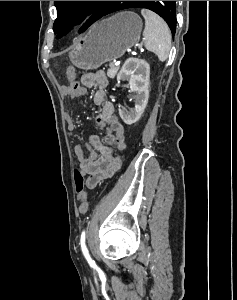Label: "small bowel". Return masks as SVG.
Here are the masks:
<instances>
[{"label":"small bowel","instance_id":"obj_1","mask_svg":"<svg viewBox=\"0 0 237 300\" xmlns=\"http://www.w3.org/2000/svg\"><path fill=\"white\" fill-rule=\"evenodd\" d=\"M70 82L76 80V74H69ZM97 85L99 89L94 94V103L101 108L96 117V123L105 129L104 140L98 136L89 137L85 145H78L75 153L80 162V171L88 175L86 184L90 189L95 188L99 183L111 177L120 167L121 159L114 154L115 150L121 151L125 147V131L123 125L114 115V105L106 100L105 89L108 86V79L103 70L87 73L82 77V89L75 90L72 85L62 86L63 96L71 99L78 98L85 92V88ZM66 123L69 130L74 129V122L71 116H66ZM88 210L87 201H81L79 212L85 214Z\"/></svg>","mask_w":237,"mask_h":300}]
</instances>
